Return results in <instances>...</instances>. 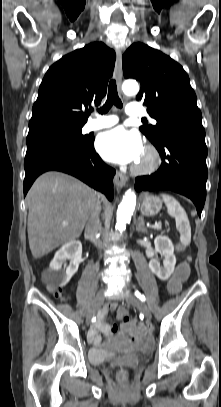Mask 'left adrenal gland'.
<instances>
[{
  "mask_svg": "<svg viewBox=\"0 0 221 407\" xmlns=\"http://www.w3.org/2000/svg\"><path fill=\"white\" fill-rule=\"evenodd\" d=\"M136 230L138 232H146L145 226H144V220L142 216L138 217V222L136 224Z\"/></svg>",
  "mask_w": 221,
  "mask_h": 407,
  "instance_id": "left-adrenal-gland-1",
  "label": "left adrenal gland"
}]
</instances>
